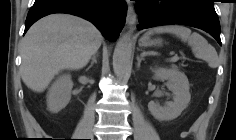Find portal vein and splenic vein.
<instances>
[{
	"mask_svg": "<svg viewBox=\"0 0 236 140\" xmlns=\"http://www.w3.org/2000/svg\"><path fill=\"white\" fill-rule=\"evenodd\" d=\"M178 59H179V57L177 55H175L170 59V61L176 62V61H178Z\"/></svg>",
	"mask_w": 236,
	"mask_h": 140,
	"instance_id": "18ae733b",
	"label": "portal vein and splenic vein"
}]
</instances>
